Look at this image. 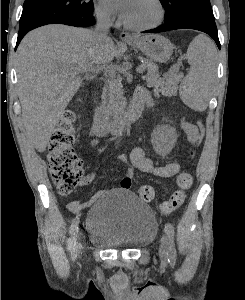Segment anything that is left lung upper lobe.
I'll return each mask as SVG.
<instances>
[{"mask_svg":"<svg viewBox=\"0 0 245 300\" xmlns=\"http://www.w3.org/2000/svg\"><path fill=\"white\" fill-rule=\"evenodd\" d=\"M160 2L165 9V22L181 13H193L215 19L209 0H160Z\"/></svg>","mask_w":245,"mask_h":300,"instance_id":"5c2ea615","label":"left lung upper lobe"}]
</instances>
